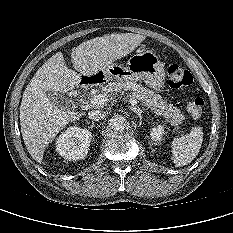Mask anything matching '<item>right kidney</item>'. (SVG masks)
Wrapping results in <instances>:
<instances>
[{"label": "right kidney", "instance_id": "obj_1", "mask_svg": "<svg viewBox=\"0 0 233 233\" xmlns=\"http://www.w3.org/2000/svg\"><path fill=\"white\" fill-rule=\"evenodd\" d=\"M92 139L88 129L71 126L56 141V150L64 158L76 161L84 158Z\"/></svg>", "mask_w": 233, "mask_h": 233}]
</instances>
